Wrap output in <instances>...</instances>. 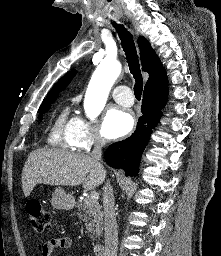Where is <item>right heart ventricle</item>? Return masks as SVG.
Listing matches in <instances>:
<instances>
[{
  "label": "right heart ventricle",
  "instance_id": "right-heart-ventricle-1",
  "mask_svg": "<svg viewBox=\"0 0 221 256\" xmlns=\"http://www.w3.org/2000/svg\"><path fill=\"white\" fill-rule=\"evenodd\" d=\"M74 117H69V109L63 108L55 117L48 135V143L63 149L74 148L71 126Z\"/></svg>",
  "mask_w": 221,
  "mask_h": 256
}]
</instances>
